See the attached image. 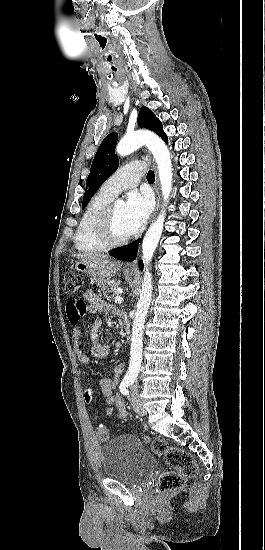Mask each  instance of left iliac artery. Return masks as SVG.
Listing matches in <instances>:
<instances>
[{"instance_id": "left-iliac-artery-1", "label": "left iliac artery", "mask_w": 265, "mask_h": 550, "mask_svg": "<svg viewBox=\"0 0 265 550\" xmlns=\"http://www.w3.org/2000/svg\"><path fill=\"white\" fill-rule=\"evenodd\" d=\"M134 380H129L127 382H122L120 385V392L124 395H129V391L127 390L128 386H130Z\"/></svg>"}]
</instances>
